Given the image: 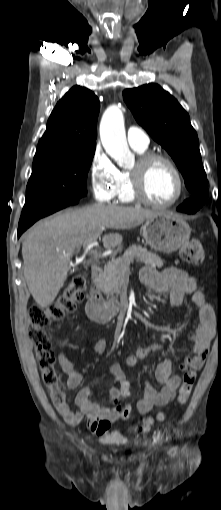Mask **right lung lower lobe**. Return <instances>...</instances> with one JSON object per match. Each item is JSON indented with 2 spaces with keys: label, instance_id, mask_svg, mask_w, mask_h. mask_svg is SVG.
<instances>
[{
  "label": "right lung lower lobe",
  "instance_id": "right-lung-lower-lobe-1",
  "mask_svg": "<svg viewBox=\"0 0 221 510\" xmlns=\"http://www.w3.org/2000/svg\"><path fill=\"white\" fill-rule=\"evenodd\" d=\"M78 203V202H76ZM76 203H73V204H70V205H67L65 207H61V208H54V209H46V210H40L38 208V204L37 203H34L30 206H27L25 205L24 208H23V211H22V214H21V218H20V221H19V226H18V237L21 236V234L27 229L29 228L35 221H37L38 219L42 218V217H45L49 214H52L60 209H63V208H66L68 206H71V205H74Z\"/></svg>",
  "mask_w": 221,
  "mask_h": 510
}]
</instances>
